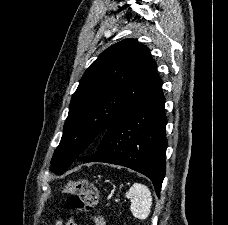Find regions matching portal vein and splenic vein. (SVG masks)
Listing matches in <instances>:
<instances>
[{
	"label": "portal vein and splenic vein",
	"instance_id": "1",
	"mask_svg": "<svg viewBox=\"0 0 228 225\" xmlns=\"http://www.w3.org/2000/svg\"><path fill=\"white\" fill-rule=\"evenodd\" d=\"M116 201H117V202H120V201H121V198H120V197H117V198H116ZM105 206H106V207H109V206H110V203H109V202H106V203H105Z\"/></svg>",
	"mask_w": 228,
	"mask_h": 225
}]
</instances>
